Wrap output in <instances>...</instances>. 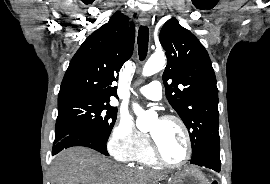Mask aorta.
<instances>
[{"mask_svg":"<svg viewBox=\"0 0 270 184\" xmlns=\"http://www.w3.org/2000/svg\"><path fill=\"white\" fill-rule=\"evenodd\" d=\"M165 65L163 53H154L143 67V76H151L159 72ZM133 109L137 115L136 126L139 130L149 129L151 122L157 117L154 111H144L138 104H133Z\"/></svg>","mask_w":270,"mask_h":184,"instance_id":"1","label":"aorta"}]
</instances>
